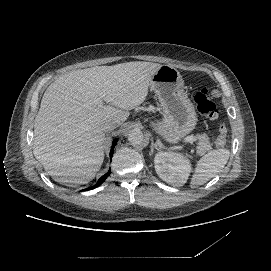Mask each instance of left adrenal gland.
I'll return each mask as SVG.
<instances>
[{
  "instance_id": "a2214340",
  "label": "left adrenal gland",
  "mask_w": 271,
  "mask_h": 271,
  "mask_svg": "<svg viewBox=\"0 0 271 271\" xmlns=\"http://www.w3.org/2000/svg\"><path fill=\"white\" fill-rule=\"evenodd\" d=\"M150 149H151L150 156H153L154 150L161 151V148H159L158 145L153 142V140L151 141V148Z\"/></svg>"
}]
</instances>
